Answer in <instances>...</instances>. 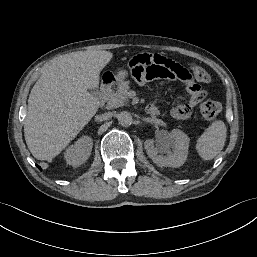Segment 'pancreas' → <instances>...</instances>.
Segmentation results:
<instances>
[{"label": "pancreas", "mask_w": 257, "mask_h": 257, "mask_svg": "<svg viewBox=\"0 0 257 257\" xmlns=\"http://www.w3.org/2000/svg\"><path fill=\"white\" fill-rule=\"evenodd\" d=\"M129 81H123L119 84L116 91H111L106 97L107 109H114L123 106L128 101L127 93L130 89Z\"/></svg>", "instance_id": "obj_1"}]
</instances>
